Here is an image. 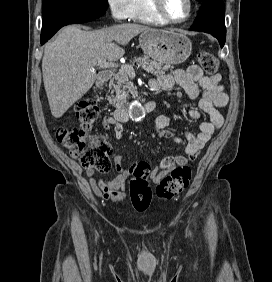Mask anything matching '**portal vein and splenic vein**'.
<instances>
[{
  "label": "portal vein and splenic vein",
  "instance_id": "18ae733b",
  "mask_svg": "<svg viewBox=\"0 0 272 282\" xmlns=\"http://www.w3.org/2000/svg\"><path fill=\"white\" fill-rule=\"evenodd\" d=\"M99 68H114L117 67L118 65L115 62H107L106 60H99L97 63ZM121 69H125L128 74H134V68L132 66L128 65H122Z\"/></svg>",
  "mask_w": 272,
  "mask_h": 282
}]
</instances>
